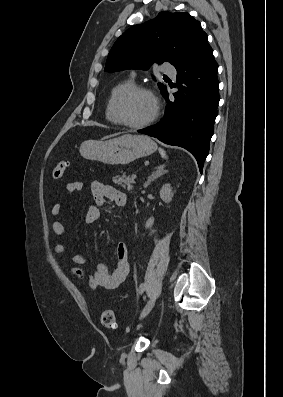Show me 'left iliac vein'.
Instances as JSON below:
<instances>
[{"label": "left iliac vein", "instance_id": "obj_1", "mask_svg": "<svg viewBox=\"0 0 283 397\" xmlns=\"http://www.w3.org/2000/svg\"><path fill=\"white\" fill-rule=\"evenodd\" d=\"M154 304H155V298H151L145 305V307L140 315V319H143L144 317H146L149 314V312L152 310Z\"/></svg>", "mask_w": 283, "mask_h": 397}]
</instances>
